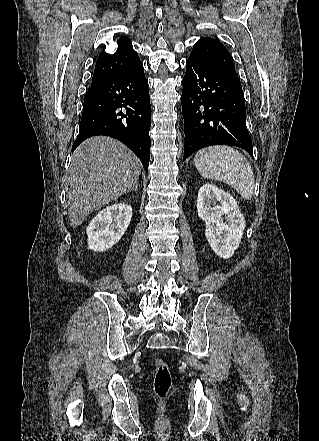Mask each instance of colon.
I'll use <instances>...</instances> for the list:
<instances>
[{"instance_id":"obj_1","label":"colon","mask_w":319,"mask_h":441,"mask_svg":"<svg viewBox=\"0 0 319 441\" xmlns=\"http://www.w3.org/2000/svg\"><path fill=\"white\" fill-rule=\"evenodd\" d=\"M155 365V378H154V390L158 397H165L171 387V373L170 369L162 358H156L154 360Z\"/></svg>"}]
</instances>
